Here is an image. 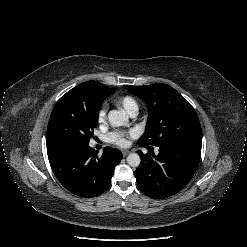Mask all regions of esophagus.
<instances>
[{
    "mask_svg": "<svg viewBox=\"0 0 247 247\" xmlns=\"http://www.w3.org/2000/svg\"><path fill=\"white\" fill-rule=\"evenodd\" d=\"M122 153H123V156L125 157L130 153V151L129 150H123Z\"/></svg>",
    "mask_w": 247,
    "mask_h": 247,
    "instance_id": "obj_1",
    "label": "esophagus"
}]
</instances>
